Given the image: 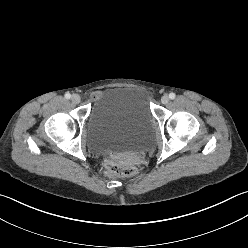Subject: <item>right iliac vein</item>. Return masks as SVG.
<instances>
[{
  "label": "right iliac vein",
  "mask_w": 248,
  "mask_h": 248,
  "mask_svg": "<svg viewBox=\"0 0 248 248\" xmlns=\"http://www.w3.org/2000/svg\"><path fill=\"white\" fill-rule=\"evenodd\" d=\"M71 100L73 103L78 104L81 101V97L78 94H73Z\"/></svg>",
  "instance_id": "1"
}]
</instances>
